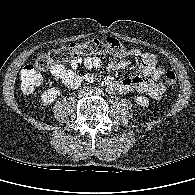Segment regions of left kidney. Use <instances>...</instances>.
Masks as SVG:
<instances>
[{
	"mask_svg": "<svg viewBox=\"0 0 195 195\" xmlns=\"http://www.w3.org/2000/svg\"><path fill=\"white\" fill-rule=\"evenodd\" d=\"M135 102L143 107H147L149 105V100L148 98L144 96H136L135 97Z\"/></svg>",
	"mask_w": 195,
	"mask_h": 195,
	"instance_id": "5707ae66",
	"label": "left kidney"
}]
</instances>
